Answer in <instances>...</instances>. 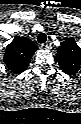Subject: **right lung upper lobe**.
Instances as JSON below:
<instances>
[{
	"instance_id": "cb5924a9",
	"label": "right lung upper lobe",
	"mask_w": 81,
	"mask_h": 124,
	"mask_svg": "<svg viewBox=\"0 0 81 124\" xmlns=\"http://www.w3.org/2000/svg\"><path fill=\"white\" fill-rule=\"evenodd\" d=\"M37 49V45L29 38L16 36L7 46L3 61L12 73L20 74L28 68Z\"/></svg>"
}]
</instances>
